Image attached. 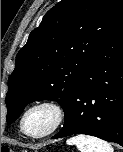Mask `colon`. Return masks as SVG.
Returning <instances> with one entry per match:
<instances>
[{"mask_svg": "<svg viewBox=\"0 0 123 152\" xmlns=\"http://www.w3.org/2000/svg\"><path fill=\"white\" fill-rule=\"evenodd\" d=\"M1 152H15L14 150L8 148V147H2Z\"/></svg>", "mask_w": 123, "mask_h": 152, "instance_id": "obj_1", "label": "colon"}]
</instances>
